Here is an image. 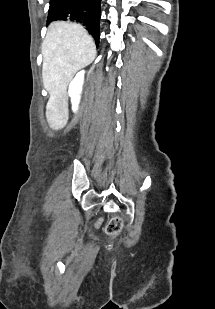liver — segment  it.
Wrapping results in <instances>:
<instances>
[{
	"mask_svg": "<svg viewBox=\"0 0 215 309\" xmlns=\"http://www.w3.org/2000/svg\"><path fill=\"white\" fill-rule=\"evenodd\" d=\"M42 54L44 86L50 94L47 120L53 128H62L68 120V108L59 102H63L74 74L94 60L95 42L81 24L54 20L42 42Z\"/></svg>",
	"mask_w": 215,
	"mask_h": 309,
	"instance_id": "1",
	"label": "liver"
}]
</instances>
